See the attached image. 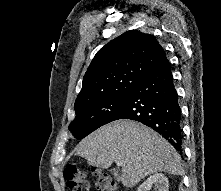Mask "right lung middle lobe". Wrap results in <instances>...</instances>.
<instances>
[{
    "mask_svg": "<svg viewBox=\"0 0 221 191\" xmlns=\"http://www.w3.org/2000/svg\"><path fill=\"white\" fill-rule=\"evenodd\" d=\"M131 91L88 105L76 111V118L69 130L77 139H82L99 127L116 120Z\"/></svg>",
    "mask_w": 221,
    "mask_h": 191,
    "instance_id": "right-lung-middle-lobe-1",
    "label": "right lung middle lobe"
}]
</instances>
